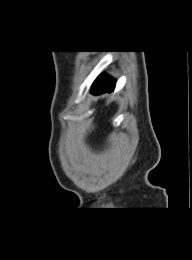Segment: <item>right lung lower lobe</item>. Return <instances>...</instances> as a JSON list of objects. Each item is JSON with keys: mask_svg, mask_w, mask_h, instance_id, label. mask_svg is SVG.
<instances>
[{"mask_svg": "<svg viewBox=\"0 0 192 260\" xmlns=\"http://www.w3.org/2000/svg\"><path fill=\"white\" fill-rule=\"evenodd\" d=\"M115 88V80L106 76L99 77L95 82L92 89L93 94H102L105 92H111Z\"/></svg>", "mask_w": 192, "mask_h": 260, "instance_id": "1", "label": "right lung lower lobe"}]
</instances>
